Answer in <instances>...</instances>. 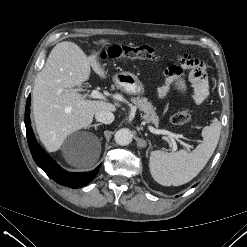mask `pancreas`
Wrapping results in <instances>:
<instances>
[{
	"label": "pancreas",
	"instance_id": "obj_1",
	"mask_svg": "<svg viewBox=\"0 0 247 247\" xmlns=\"http://www.w3.org/2000/svg\"><path fill=\"white\" fill-rule=\"evenodd\" d=\"M131 102L136 105L139 110L144 112V120L147 123H152L156 127L159 124V117L157 116L156 109L153 107L152 103L148 101L145 97H133Z\"/></svg>",
	"mask_w": 247,
	"mask_h": 247
}]
</instances>
